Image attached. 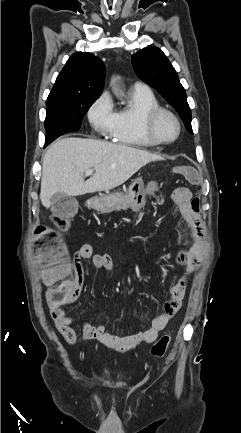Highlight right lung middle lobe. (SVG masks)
<instances>
[{"instance_id":"right-lung-middle-lobe-1","label":"right lung middle lobe","mask_w":241,"mask_h":433,"mask_svg":"<svg viewBox=\"0 0 241 433\" xmlns=\"http://www.w3.org/2000/svg\"><path fill=\"white\" fill-rule=\"evenodd\" d=\"M95 100H54L46 102L45 145L51 143L62 134L78 131L84 114Z\"/></svg>"}]
</instances>
